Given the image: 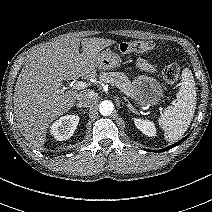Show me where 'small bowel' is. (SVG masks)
Listing matches in <instances>:
<instances>
[{
    "mask_svg": "<svg viewBox=\"0 0 212 212\" xmlns=\"http://www.w3.org/2000/svg\"><path fill=\"white\" fill-rule=\"evenodd\" d=\"M138 66L142 69V70H145V71H153V67L146 61V60H143V59H139L138 60Z\"/></svg>",
    "mask_w": 212,
    "mask_h": 212,
    "instance_id": "obj_1",
    "label": "small bowel"
}]
</instances>
